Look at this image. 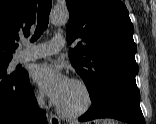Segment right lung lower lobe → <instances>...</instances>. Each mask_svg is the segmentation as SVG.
I'll return each instance as SVG.
<instances>
[{"label":"right lung lower lobe","instance_id":"98d812e1","mask_svg":"<svg viewBox=\"0 0 156 124\" xmlns=\"http://www.w3.org/2000/svg\"><path fill=\"white\" fill-rule=\"evenodd\" d=\"M0 123L47 124L37 105L27 72L21 76L6 74L0 66Z\"/></svg>","mask_w":156,"mask_h":124}]
</instances>
